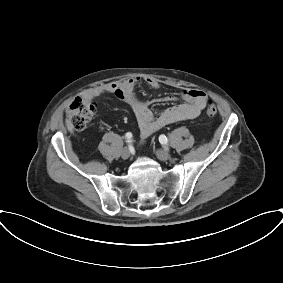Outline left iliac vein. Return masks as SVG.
<instances>
[{"mask_svg": "<svg viewBox=\"0 0 283 283\" xmlns=\"http://www.w3.org/2000/svg\"><path fill=\"white\" fill-rule=\"evenodd\" d=\"M155 154H156L157 158L161 161H166V160L170 159V154L168 152H166L165 150L158 149V150H156Z\"/></svg>", "mask_w": 283, "mask_h": 283, "instance_id": "obj_1", "label": "left iliac vein"}]
</instances>
